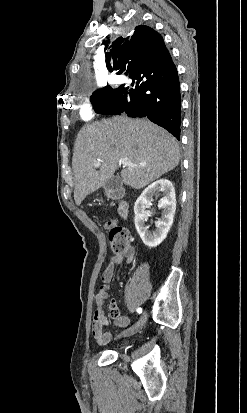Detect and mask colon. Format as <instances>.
I'll list each match as a JSON object with an SVG mask.
<instances>
[{
  "mask_svg": "<svg viewBox=\"0 0 247 413\" xmlns=\"http://www.w3.org/2000/svg\"><path fill=\"white\" fill-rule=\"evenodd\" d=\"M109 229V239L114 244L116 250L123 251L128 244V232L126 228L116 220H108L105 222Z\"/></svg>",
  "mask_w": 247,
  "mask_h": 413,
  "instance_id": "obj_1",
  "label": "colon"
}]
</instances>
